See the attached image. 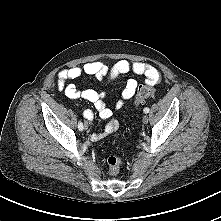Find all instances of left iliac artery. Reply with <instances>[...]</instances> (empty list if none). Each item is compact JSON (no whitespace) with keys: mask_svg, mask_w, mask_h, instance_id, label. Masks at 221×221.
<instances>
[{"mask_svg":"<svg viewBox=\"0 0 221 221\" xmlns=\"http://www.w3.org/2000/svg\"><path fill=\"white\" fill-rule=\"evenodd\" d=\"M143 111H144V113H148L149 112V108L146 107V108H144Z\"/></svg>","mask_w":221,"mask_h":221,"instance_id":"left-iliac-artery-1","label":"left iliac artery"}]
</instances>
